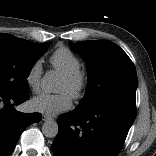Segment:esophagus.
Instances as JSON below:
<instances>
[{"instance_id":"obj_1","label":"esophagus","mask_w":156,"mask_h":156,"mask_svg":"<svg viewBox=\"0 0 156 156\" xmlns=\"http://www.w3.org/2000/svg\"><path fill=\"white\" fill-rule=\"evenodd\" d=\"M42 120L43 121H48V120H52V118L49 115L43 114L42 115Z\"/></svg>"}]
</instances>
